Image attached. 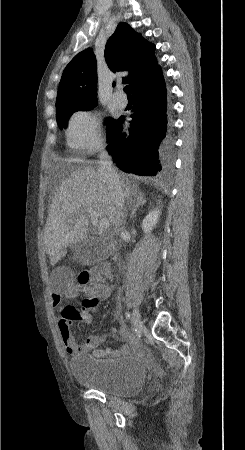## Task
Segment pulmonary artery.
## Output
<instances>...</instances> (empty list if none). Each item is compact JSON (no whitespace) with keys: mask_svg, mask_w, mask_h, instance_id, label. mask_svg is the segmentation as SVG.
<instances>
[{"mask_svg":"<svg viewBox=\"0 0 245 450\" xmlns=\"http://www.w3.org/2000/svg\"><path fill=\"white\" fill-rule=\"evenodd\" d=\"M113 102L119 108H124L127 105V98L122 90H119L113 94Z\"/></svg>","mask_w":245,"mask_h":450,"instance_id":"obj_1","label":"pulmonary artery"}]
</instances>
